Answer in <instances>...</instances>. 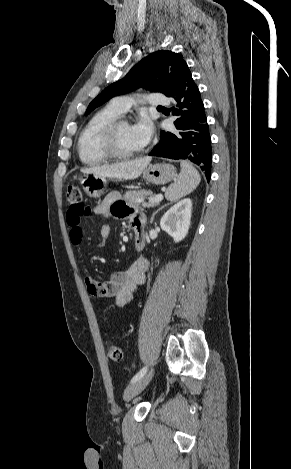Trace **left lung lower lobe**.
<instances>
[{
  "instance_id": "left-lung-lower-lobe-1",
  "label": "left lung lower lobe",
  "mask_w": 291,
  "mask_h": 469,
  "mask_svg": "<svg viewBox=\"0 0 291 469\" xmlns=\"http://www.w3.org/2000/svg\"><path fill=\"white\" fill-rule=\"evenodd\" d=\"M175 100L172 114L176 131L161 132L160 142L150 156L190 160L211 178L212 147L205 108L190 70L183 75L176 89L168 96Z\"/></svg>"
}]
</instances>
